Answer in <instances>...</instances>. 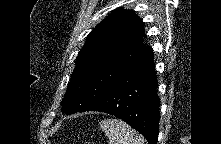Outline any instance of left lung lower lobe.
<instances>
[{
	"instance_id": "obj_1",
	"label": "left lung lower lobe",
	"mask_w": 221,
	"mask_h": 144,
	"mask_svg": "<svg viewBox=\"0 0 221 144\" xmlns=\"http://www.w3.org/2000/svg\"><path fill=\"white\" fill-rule=\"evenodd\" d=\"M159 105L153 50L147 47L86 111L112 114L157 144Z\"/></svg>"
}]
</instances>
